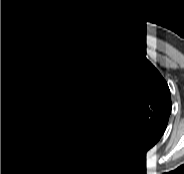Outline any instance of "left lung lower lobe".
Masks as SVG:
<instances>
[{
  "instance_id": "1",
  "label": "left lung lower lobe",
  "mask_w": 184,
  "mask_h": 174,
  "mask_svg": "<svg viewBox=\"0 0 184 174\" xmlns=\"http://www.w3.org/2000/svg\"><path fill=\"white\" fill-rule=\"evenodd\" d=\"M161 134L149 132L137 127L126 126L122 137L112 139L114 147L125 154L141 155L151 149L161 138Z\"/></svg>"
}]
</instances>
